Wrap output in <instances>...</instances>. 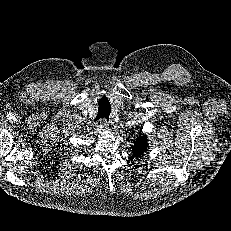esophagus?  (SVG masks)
<instances>
[{
  "label": "esophagus",
  "instance_id": "34e87169",
  "mask_svg": "<svg viewBox=\"0 0 231 231\" xmlns=\"http://www.w3.org/2000/svg\"><path fill=\"white\" fill-rule=\"evenodd\" d=\"M108 125H109V122L107 119H100L97 127L99 130H104L108 128Z\"/></svg>",
  "mask_w": 231,
  "mask_h": 231
}]
</instances>
